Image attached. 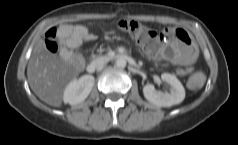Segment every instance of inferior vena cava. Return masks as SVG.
<instances>
[{
  "mask_svg": "<svg viewBox=\"0 0 238 145\" xmlns=\"http://www.w3.org/2000/svg\"><path fill=\"white\" fill-rule=\"evenodd\" d=\"M106 63H107V59L105 57H98L90 63V67L92 69H97L102 67Z\"/></svg>",
  "mask_w": 238,
  "mask_h": 145,
  "instance_id": "602c4592",
  "label": "inferior vena cava"
}]
</instances>
